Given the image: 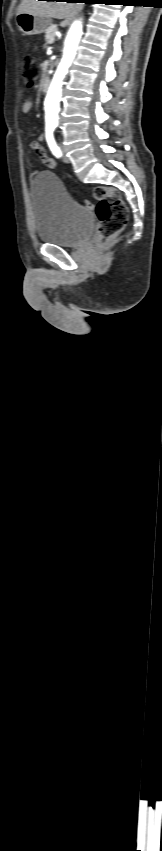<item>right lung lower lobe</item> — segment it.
Segmentation results:
<instances>
[{
  "label": "right lung lower lobe",
  "instance_id": "right-lung-lower-lobe-1",
  "mask_svg": "<svg viewBox=\"0 0 162 851\" xmlns=\"http://www.w3.org/2000/svg\"><path fill=\"white\" fill-rule=\"evenodd\" d=\"M47 1H58V0H47ZM65 1H66V2H77V3H78V2H83V3H86V4H92V3H95V0H65Z\"/></svg>",
  "mask_w": 162,
  "mask_h": 851
}]
</instances>
